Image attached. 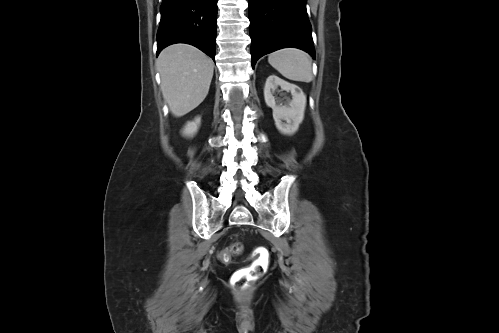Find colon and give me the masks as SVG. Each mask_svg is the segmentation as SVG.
Here are the masks:
<instances>
[{
	"instance_id": "obj_1",
	"label": "colon",
	"mask_w": 499,
	"mask_h": 333,
	"mask_svg": "<svg viewBox=\"0 0 499 333\" xmlns=\"http://www.w3.org/2000/svg\"><path fill=\"white\" fill-rule=\"evenodd\" d=\"M242 250L240 243H234L224 248L219 253L222 262H229L233 256L239 254ZM257 259L248 268L238 271L233 277V287L237 291L245 289L250 281L260 278L268 265V252L266 249H260L256 252Z\"/></svg>"
}]
</instances>
